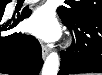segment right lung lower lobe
<instances>
[{"instance_id":"right-lung-lower-lobe-1","label":"right lung lower lobe","mask_w":102,"mask_h":75,"mask_svg":"<svg viewBox=\"0 0 102 75\" xmlns=\"http://www.w3.org/2000/svg\"><path fill=\"white\" fill-rule=\"evenodd\" d=\"M10 0H5L0 7V73L9 75H38L43 60L41 56V45L31 35L13 33L5 35L6 32L15 27L18 21H22L31 15V10H23L16 21L4 22L2 17L4 9Z\"/></svg>"}]
</instances>
